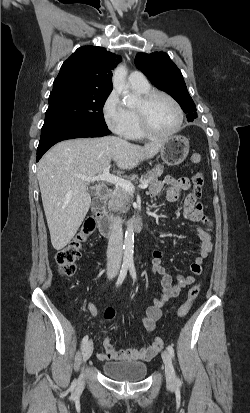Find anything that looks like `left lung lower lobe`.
Wrapping results in <instances>:
<instances>
[{
  "label": "left lung lower lobe",
  "instance_id": "1",
  "mask_svg": "<svg viewBox=\"0 0 250 413\" xmlns=\"http://www.w3.org/2000/svg\"><path fill=\"white\" fill-rule=\"evenodd\" d=\"M195 118H193V119H190V120H188V122H191V121H193Z\"/></svg>",
  "mask_w": 250,
  "mask_h": 413
}]
</instances>
